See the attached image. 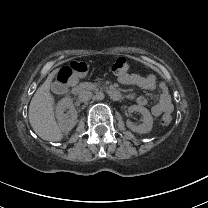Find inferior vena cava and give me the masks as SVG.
Listing matches in <instances>:
<instances>
[{
    "label": "inferior vena cava",
    "mask_w": 208,
    "mask_h": 208,
    "mask_svg": "<svg viewBox=\"0 0 208 208\" xmlns=\"http://www.w3.org/2000/svg\"><path fill=\"white\" fill-rule=\"evenodd\" d=\"M93 96V93L87 90H83L79 93V100L80 101H89Z\"/></svg>",
    "instance_id": "1"
}]
</instances>
